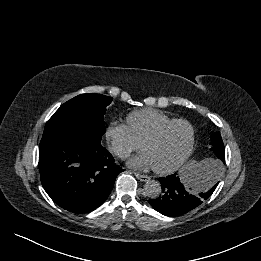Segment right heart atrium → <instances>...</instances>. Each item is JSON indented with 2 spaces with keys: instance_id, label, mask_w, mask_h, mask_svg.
I'll use <instances>...</instances> for the list:
<instances>
[{
  "instance_id": "right-heart-atrium-1",
  "label": "right heart atrium",
  "mask_w": 261,
  "mask_h": 261,
  "mask_svg": "<svg viewBox=\"0 0 261 261\" xmlns=\"http://www.w3.org/2000/svg\"><path fill=\"white\" fill-rule=\"evenodd\" d=\"M105 139L112 153L125 159L140 147V143L130 132L127 125L111 122L105 129Z\"/></svg>"
}]
</instances>
